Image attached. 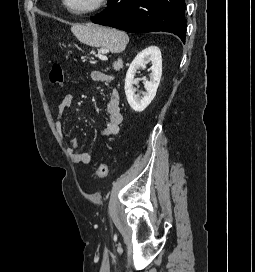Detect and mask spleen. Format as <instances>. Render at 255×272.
<instances>
[{
    "instance_id": "spleen-1",
    "label": "spleen",
    "mask_w": 255,
    "mask_h": 272,
    "mask_svg": "<svg viewBox=\"0 0 255 272\" xmlns=\"http://www.w3.org/2000/svg\"><path fill=\"white\" fill-rule=\"evenodd\" d=\"M71 31L80 42L93 47H105L112 53L122 52L129 41L128 35L123 31L90 23L74 25Z\"/></svg>"
}]
</instances>
